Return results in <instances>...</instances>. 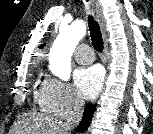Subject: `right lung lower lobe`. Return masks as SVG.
<instances>
[{"mask_svg":"<svg viewBox=\"0 0 153 134\" xmlns=\"http://www.w3.org/2000/svg\"><path fill=\"white\" fill-rule=\"evenodd\" d=\"M93 112H94L93 105H89L88 107H86L84 116L79 126L77 127L79 132H84L88 128L92 120Z\"/></svg>","mask_w":153,"mask_h":134,"instance_id":"1","label":"right lung lower lobe"}]
</instances>
